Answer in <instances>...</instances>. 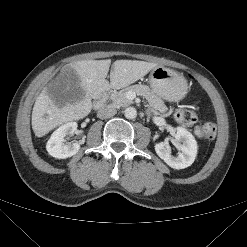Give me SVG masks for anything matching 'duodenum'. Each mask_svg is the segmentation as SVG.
Segmentation results:
<instances>
[{
	"instance_id": "obj_1",
	"label": "duodenum",
	"mask_w": 247,
	"mask_h": 247,
	"mask_svg": "<svg viewBox=\"0 0 247 247\" xmlns=\"http://www.w3.org/2000/svg\"><path fill=\"white\" fill-rule=\"evenodd\" d=\"M109 92L111 91H106L104 94H103V97L101 99H99L96 103H95V108L96 109H101L103 108L104 106V102H105V98L108 96Z\"/></svg>"
}]
</instances>
